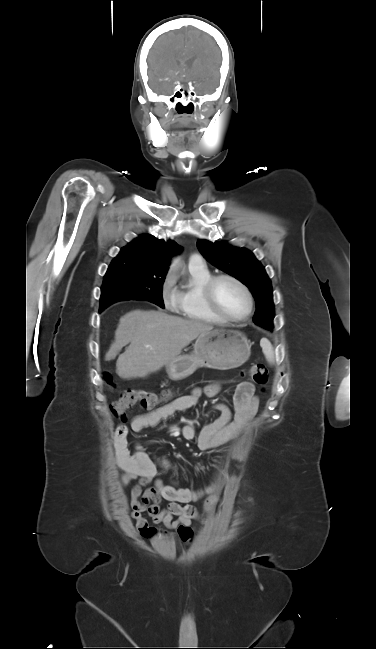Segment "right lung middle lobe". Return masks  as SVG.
Wrapping results in <instances>:
<instances>
[{
  "label": "right lung middle lobe",
  "instance_id": "obj_1",
  "mask_svg": "<svg viewBox=\"0 0 376 649\" xmlns=\"http://www.w3.org/2000/svg\"><path fill=\"white\" fill-rule=\"evenodd\" d=\"M167 271L151 272L143 262L115 258L110 264L101 288V312L121 300H147L164 308L162 287Z\"/></svg>",
  "mask_w": 376,
  "mask_h": 649
}]
</instances>
